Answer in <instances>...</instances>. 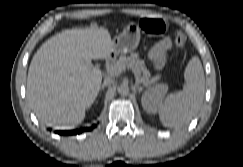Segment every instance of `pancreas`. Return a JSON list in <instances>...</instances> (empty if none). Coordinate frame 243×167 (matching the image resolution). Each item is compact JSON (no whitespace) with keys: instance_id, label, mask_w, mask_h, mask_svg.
I'll list each match as a JSON object with an SVG mask.
<instances>
[{"instance_id":"pancreas-1","label":"pancreas","mask_w":243,"mask_h":167,"mask_svg":"<svg viewBox=\"0 0 243 167\" xmlns=\"http://www.w3.org/2000/svg\"><path fill=\"white\" fill-rule=\"evenodd\" d=\"M115 65L132 70L136 79H139L141 83L146 86L158 79L157 76L155 78H150V71L147 70L144 60L139 59L137 53H131L128 57L120 56V58L113 64V66Z\"/></svg>"}]
</instances>
